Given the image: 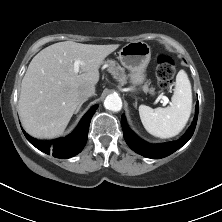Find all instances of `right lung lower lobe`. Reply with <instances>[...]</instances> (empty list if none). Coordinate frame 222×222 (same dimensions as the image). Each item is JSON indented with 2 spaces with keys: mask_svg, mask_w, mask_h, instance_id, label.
<instances>
[{
  "mask_svg": "<svg viewBox=\"0 0 222 222\" xmlns=\"http://www.w3.org/2000/svg\"><path fill=\"white\" fill-rule=\"evenodd\" d=\"M97 106L91 108L80 121L77 128L65 138H59L52 141H39L32 138L24 131L27 140L42 152L52 153L54 157L66 159L77 155L85 146L88 130L92 116L95 113Z\"/></svg>",
  "mask_w": 222,
  "mask_h": 222,
  "instance_id": "right-lung-lower-lobe-1",
  "label": "right lung lower lobe"
}]
</instances>
